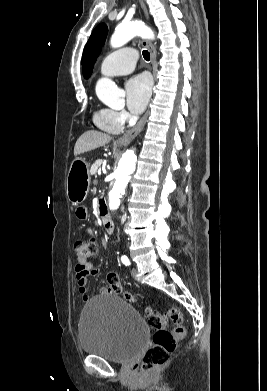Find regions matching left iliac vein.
Listing matches in <instances>:
<instances>
[{"label":"left iliac vein","mask_w":267,"mask_h":391,"mask_svg":"<svg viewBox=\"0 0 267 391\" xmlns=\"http://www.w3.org/2000/svg\"><path fill=\"white\" fill-rule=\"evenodd\" d=\"M131 275H132V277H133L135 280L137 279V269H136V268H133V269H132Z\"/></svg>","instance_id":"left-iliac-vein-1"}]
</instances>
